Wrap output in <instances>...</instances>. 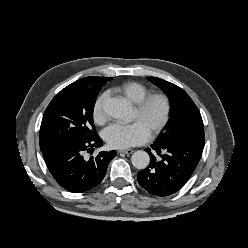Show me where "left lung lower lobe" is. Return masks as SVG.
I'll use <instances>...</instances> for the list:
<instances>
[{
    "label": "left lung lower lobe",
    "instance_id": "obj_1",
    "mask_svg": "<svg viewBox=\"0 0 248 248\" xmlns=\"http://www.w3.org/2000/svg\"><path fill=\"white\" fill-rule=\"evenodd\" d=\"M204 141L179 138L155 141L145 150L150 164L137 175L139 184L150 194L164 197L180 190L191 177L201 158Z\"/></svg>",
    "mask_w": 248,
    "mask_h": 248
}]
</instances>
